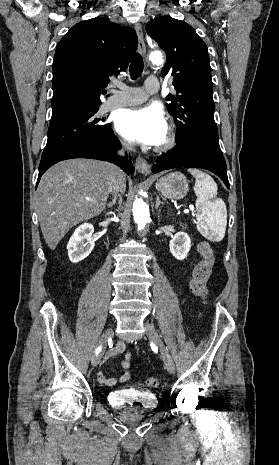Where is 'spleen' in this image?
<instances>
[{"label":"spleen","instance_id":"obj_1","mask_svg":"<svg viewBox=\"0 0 279 465\" xmlns=\"http://www.w3.org/2000/svg\"><path fill=\"white\" fill-rule=\"evenodd\" d=\"M195 177L194 192L197 196V229L214 241H221L225 236L227 209L217 196V185L208 174L198 170H188Z\"/></svg>","mask_w":279,"mask_h":465}]
</instances>
